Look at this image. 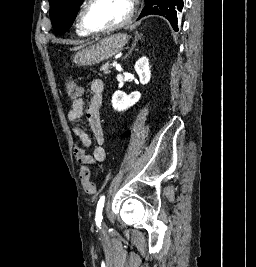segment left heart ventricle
I'll use <instances>...</instances> for the list:
<instances>
[{"instance_id":"left-heart-ventricle-1","label":"left heart ventricle","mask_w":256,"mask_h":267,"mask_svg":"<svg viewBox=\"0 0 256 267\" xmlns=\"http://www.w3.org/2000/svg\"><path fill=\"white\" fill-rule=\"evenodd\" d=\"M128 9L115 0H97L86 9L87 23L95 29H104L126 19Z\"/></svg>"}]
</instances>
